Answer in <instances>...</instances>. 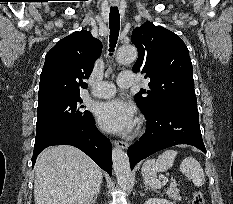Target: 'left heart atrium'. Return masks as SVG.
Segmentation results:
<instances>
[{"mask_svg": "<svg viewBox=\"0 0 233 204\" xmlns=\"http://www.w3.org/2000/svg\"><path fill=\"white\" fill-rule=\"evenodd\" d=\"M96 117L102 129L112 133H126L134 126L135 108L131 103L113 99L98 105Z\"/></svg>", "mask_w": 233, "mask_h": 204, "instance_id": "obj_1", "label": "left heart atrium"}]
</instances>
